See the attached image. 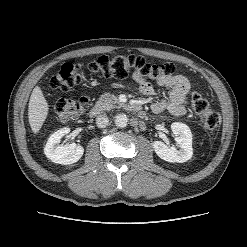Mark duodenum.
I'll use <instances>...</instances> for the list:
<instances>
[{
	"label": "duodenum",
	"mask_w": 247,
	"mask_h": 247,
	"mask_svg": "<svg viewBox=\"0 0 247 247\" xmlns=\"http://www.w3.org/2000/svg\"><path fill=\"white\" fill-rule=\"evenodd\" d=\"M127 110L131 112L139 113L142 110V106L138 103H129L126 105ZM104 112V106L100 103L95 104L89 111L90 116H98Z\"/></svg>",
	"instance_id": "410a0bca"
}]
</instances>
